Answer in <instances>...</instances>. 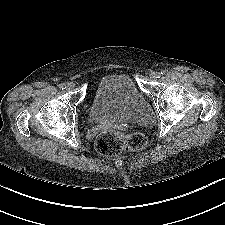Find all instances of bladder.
I'll use <instances>...</instances> for the list:
<instances>
[{"instance_id": "bladder-1", "label": "bladder", "mask_w": 225, "mask_h": 225, "mask_svg": "<svg viewBox=\"0 0 225 225\" xmlns=\"http://www.w3.org/2000/svg\"><path fill=\"white\" fill-rule=\"evenodd\" d=\"M87 120L91 124L120 121L149 125L154 121V114L135 81L127 74L114 73L96 83Z\"/></svg>"}]
</instances>
